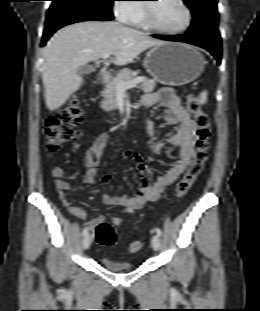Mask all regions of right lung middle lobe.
Returning <instances> with one entry per match:
<instances>
[{"label":"right lung middle lobe","mask_w":260,"mask_h":311,"mask_svg":"<svg viewBox=\"0 0 260 311\" xmlns=\"http://www.w3.org/2000/svg\"><path fill=\"white\" fill-rule=\"evenodd\" d=\"M113 1L114 0H52V5L57 6L60 3H67L104 15L113 16L111 11Z\"/></svg>","instance_id":"1"}]
</instances>
